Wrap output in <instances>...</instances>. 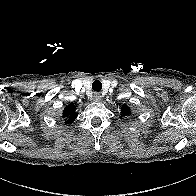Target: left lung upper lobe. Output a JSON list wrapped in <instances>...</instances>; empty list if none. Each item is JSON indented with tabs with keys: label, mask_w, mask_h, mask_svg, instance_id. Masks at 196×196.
I'll return each mask as SVG.
<instances>
[{
	"label": "left lung upper lobe",
	"mask_w": 196,
	"mask_h": 196,
	"mask_svg": "<svg viewBox=\"0 0 196 196\" xmlns=\"http://www.w3.org/2000/svg\"><path fill=\"white\" fill-rule=\"evenodd\" d=\"M130 113V109L127 105H123L122 106V109H121V114L124 116V115H127Z\"/></svg>",
	"instance_id": "5c2ea615"
}]
</instances>
